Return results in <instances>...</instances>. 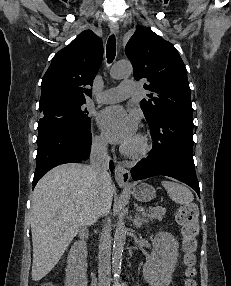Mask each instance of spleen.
Here are the masks:
<instances>
[{"instance_id":"obj_1","label":"spleen","mask_w":231,"mask_h":286,"mask_svg":"<svg viewBox=\"0 0 231 286\" xmlns=\"http://www.w3.org/2000/svg\"><path fill=\"white\" fill-rule=\"evenodd\" d=\"M161 185L166 189L172 201L181 205L192 203L194 196L186 186L172 181H162Z\"/></svg>"}]
</instances>
